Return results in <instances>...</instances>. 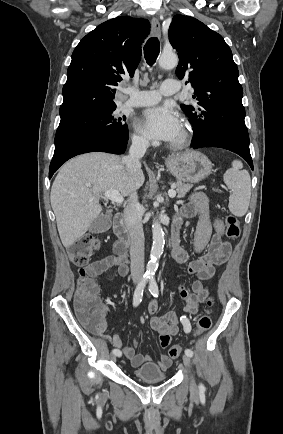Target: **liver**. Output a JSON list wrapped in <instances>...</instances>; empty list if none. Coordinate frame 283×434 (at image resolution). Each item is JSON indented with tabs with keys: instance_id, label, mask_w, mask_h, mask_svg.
Returning a JSON list of instances; mask_svg holds the SVG:
<instances>
[{
	"instance_id": "obj_1",
	"label": "liver",
	"mask_w": 283,
	"mask_h": 434,
	"mask_svg": "<svg viewBox=\"0 0 283 434\" xmlns=\"http://www.w3.org/2000/svg\"><path fill=\"white\" fill-rule=\"evenodd\" d=\"M144 181L141 168L130 174L122 158L113 154L86 153L66 162L53 182L50 195L63 246L73 245L100 216L102 193L115 190L128 196Z\"/></svg>"
}]
</instances>
